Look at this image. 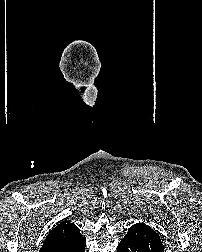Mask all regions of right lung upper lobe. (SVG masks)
Returning <instances> with one entry per match:
<instances>
[{
  "label": "right lung upper lobe",
  "mask_w": 202,
  "mask_h": 252,
  "mask_svg": "<svg viewBox=\"0 0 202 252\" xmlns=\"http://www.w3.org/2000/svg\"><path fill=\"white\" fill-rule=\"evenodd\" d=\"M85 242L80 230L65 220L49 232L39 252H79Z\"/></svg>",
  "instance_id": "obj_1"
}]
</instances>
